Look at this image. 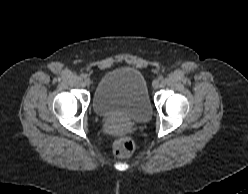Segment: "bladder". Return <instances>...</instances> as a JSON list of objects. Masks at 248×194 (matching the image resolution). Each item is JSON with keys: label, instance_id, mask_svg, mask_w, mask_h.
<instances>
[{"label": "bladder", "instance_id": "obj_1", "mask_svg": "<svg viewBox=\"0 0 248 194\" xmlns=\"http://www.w3.org/2000/svg\"><path fill=\"white\" fill-rule=\"evenodd\" d=\"M93 108L102 117L120 116L133 122L147 121L152 106L145 76L133 67L108 71L96 86Z\"/></svg>", "mask_w": 248, "mask_h": 194}]
</instances>
